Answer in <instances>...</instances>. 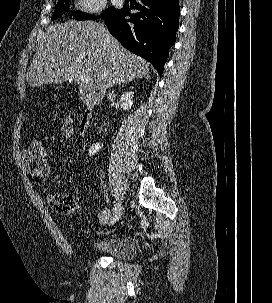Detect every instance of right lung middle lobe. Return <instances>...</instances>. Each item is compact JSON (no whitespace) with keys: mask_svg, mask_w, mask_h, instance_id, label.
I'll return each instance as SVG.
<instances>
[{"mask_svg":"<svg viewBox=\"0 0 272 303\" xmlns=\"http://www.w3.org/2000/svg\"><path fill=\"white\" fill-rule=\"evenodd\" d=\"M68 7H69V0H58V3L56 5V8H55V11L52 15L51 20H55V19L61 17L62 14H64L65 12L68 11ZM118 11H119L118 9L110 7L108 9H106L105 11H103L100 17L103 18V19H106V18H109V17L115 15ZM72 15L77 20H93V19H96L95 16L83 13L81 11L72 12Z\"/></svg>","mask_w":272,"mask_h":303,"instance_id":"obj_1","label":"right lung middle lobe"}]
</instances>
